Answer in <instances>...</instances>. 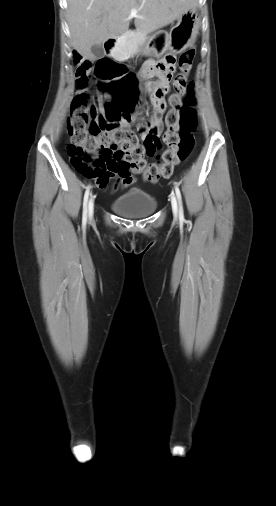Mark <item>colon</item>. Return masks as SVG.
I'll use <instances>...</instances> for the list:
<instances>
[{
  "label": "colon",
  "instance_id": "1",
  "mask_svg": "<svg viewBox=\"0 0 276 506\" xmlns=\"http://www.w3.org/2000/svg\"><path fill=\"white\" fill-rule=\"evenodd\" d=\"M126 53L124 55L128 58ZM195 53L192 46L178 59L179 73L173 78L174 93L169 98L171 108L165 116L167 129L162 136L168 148L162 154L161 163L148 164L146 155H151L160 147L159 136L147 132L151 120L144 123L142 131L147 133L143 143L133 131L120 127L122 122L132 121V113L140 104L134 86L140 72L111 64L110 56L106 58L100 54L94 70L99 79V90L106 99L92 100L86 92L90 83V59L83 56L81 50H69L68 58L76 65L79 91L72 100L66 121L70 135L67 153L72 167L87 178H96L105 172L110 159L116 157L127 171L141 173L148 182L155 183L160 177L169 178L174 167L187 160L195 147V95L187 78ZM125 57L117 55L113 60L123 64ZM172 64L174 58L169 57L166 64L160 65L161 71L167 72ZM163 95L161 88H155L150 91L147 101L155 106Z\"/></svg>",
  "mask_w": 276,
  "mask_h": 506
}]
</instances>
